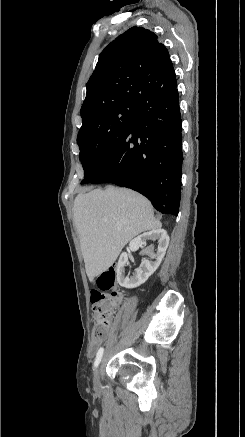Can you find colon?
Returning a JSON list of instances; mask_svg holds the SVG:
<instances>
[{"label":"colon","mask_w":245,"mask_h":437,"mask_svg":"<svg viewBox=\"0 0 245 437\" xmlns=\"http://www.w3.org/2000/svg\"><path fill=\"white\" fill-rule=\"evenodd\" d=\"M95 288L91 290V303L94 311L95 331L97 338L107 334L112 306L120 300V294L116 292L117 275L116 269L110 267L102 272L94 281Z\"/></svg>","instance_id":"1"}]
</instances>
